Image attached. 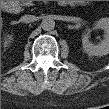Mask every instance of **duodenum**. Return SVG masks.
<instances>
[{"label":"duodenum","instance_id":"obj_1","mask_svg":"<svg viewBox=\"0 0 109 109\" xmlns=\"http://www.w3.org/2000/svg\"><path fill=\"white\" fill-rule=\"evenodd\" d=\"M2 8L6 11L11 10L12 8L11 3H8V2L3 3Z\"/></svg>","mask_w":109,"mask_h":109}]
</instances>
